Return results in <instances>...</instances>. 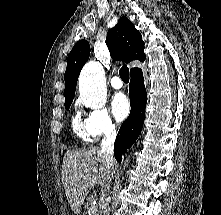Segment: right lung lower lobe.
I'll return each mask as SVG.
<instances>
[{"instance_id": "98d812e1", "label": "right lung lower lobe", "mask_w": 221, "mask_h": 215, "mask_svg": "<svg viewBox=\"0 0 221 215\" xmlns=\"http://www.w3.org/2000/svg\"><path fill=\"white\" fill-rule=\"evenodd\" d=\"M130 76L129 96L131 112L127 120L121 125L114 144V156L118 162H121L122 154L138 138L145 116L147 93L142 70L136 68L130 72Z\"/></svg>"}]
</instances>
